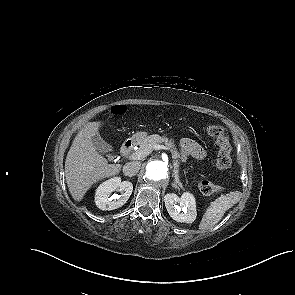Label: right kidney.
Masks as SVG:
<instances>
[{"label":"right kidney","instance_id":"right-kidney-1","mask_svg":"<svg viewBox=\"0 0 295 295\" xmlns=\"http://www.w3.org/2000/svg\"><path fill=\"white\" fill-rule=\"evenodd\" d=\"M119 191L122 194L117 195L111 193ZM133 191V184L128 181H121V178L114 177L102 184L96 189L95 203L96 206L101 210H114L123 206Z\"/></svg>","mask_w":295,"mask_h":295}]
</instances>
